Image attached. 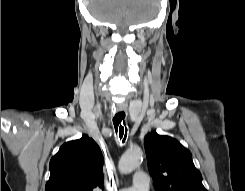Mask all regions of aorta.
Here are the masks:
<instances>
[{
    "mask_svg": "<svg viewBox=\"0 0 245 191\" xmlns=\"http://www.w3.org/2000/svg\"><path fill=\"white\" fill-rule=\"evenodd\" d=\"M142 149L139 147H133L126 151L120 158L118 168L122 174H129L135 170L142 159Z\"/></svg>",
    "mask_w": 245,
    "mask_h": 191,
    "instance_id": "obj_1",
    "label": "aorta"
}]
</instances>
